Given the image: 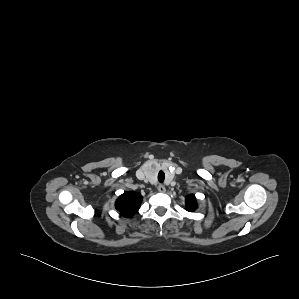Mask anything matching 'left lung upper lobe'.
I'll return each instance as SVG.
<instances>
[{"label":"left lung upper lobe","mask_w":299,"mask_h":299,"mask_svg":"<svg viewBox=\"0 0 299 299\" xmlns=\"http://www.w3.org/2000/svg\"><path fill=\"white\" fill-rule=\"evenodd\" d=\"M197 208L196 198L193 194L186 197V210L193 212Z\"/></svg>","instance_id":"1"}]
</instances>
